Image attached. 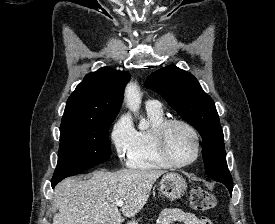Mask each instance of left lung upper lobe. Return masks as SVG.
<instances>
[{"instance_id":"5c2ea615","label":"left lung upper lobe","mask_w":275,"mask_h":224,"mask_svg":"<svg viewBox=\"0 0 275 224\" xmlns=\"http://www.w3.org/2000/svg\"><path fill=\"white\" fill-rule=\"evenodd\" d=\"M145 87L160 94L183 119L198 130L203 140L202 155L208 176L216 181L232 182L215 104L202 90L197 79L175 65H170L152 73Z\"/></svg>"}]
</instances>
